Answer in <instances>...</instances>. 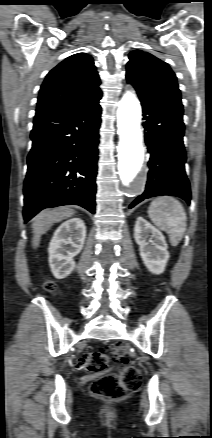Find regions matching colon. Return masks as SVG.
Instances as JSON below:
<instances>
[{
  "instance_id": "1",
  "label": "colon",
  "mask_w": 212,
  "mask_h": 438,
  "mask_svg": "<svg viewBox=\"0 0 212 438\" xmlns=\"http://www.w3.org/2000/svg\"><path fill=\"white\" fill-rule=\"evenodd\" d=\"M46 291L52 292L55 285L46 281L43 283ZM110 359L121 361L126 366L119 373H107L94 380L90 385L92 394L105 399H119L127 392L137 389L141 383L139 370L128 365L125 349L119 343H112L105 349H96L81 359L78 365L91 372L104 371Z\"/></svg>"
}]
</instances>
